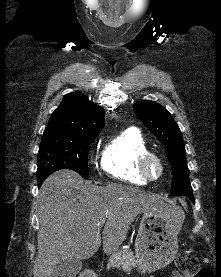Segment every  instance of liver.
Here are the masks:
<instances>
[{"instance_id":"1","label":"liver","mask_w":221,"mask_h":277,"mask_svg":"<svg viewBox=\"0 0 221 277\" xmlns=\"http://www.w3.org/2000/svg\"><path fill=\"white\" fill-rule=\"evenodd\" d=\"M38 256L34 277H50L63 260L92 257L101 244L99 221L107 219L103 250L111 254L126 239L130 224L140 213L169 210L152 194L126 185L84 184L72 170H60L42 184L38 195Z\"/></svg>"}]
</instances>
